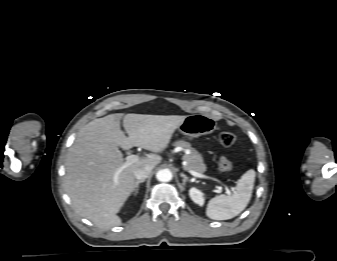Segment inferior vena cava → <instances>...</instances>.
<instances>
[{"label": "inferior vena cava", "mask_w": 337, "mask_h": 261, "mask_svg": "<svg viewBox=\"0 0 337 261\" xmlns=\"http://www.w3.org/2000/svg\"><path fill=\"white\" fill-rule=\"evenodd\" d=\"M153 169L152 165H146L139 167L135 170L134 175L137 180H145L151 173Z\"/></svg>", "instance_id": "602c4592"}]
</instances>
